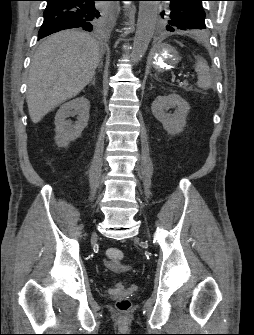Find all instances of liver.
<instances>
[{
	"label": "liver",
	"instance_id": "liver-1",
	"mask_svg": "<svg viewBox=\"0 0 254 335\" xmlns=\"http://www.w3.org/2000/svg\"><path fill=\"white\" fill-rule=\"evenodd\" d=\"M103 48L76 30L55 33L42 42L32 58L27 82L26 101L34 124L91 82Z\"/></svg>",
	"mask_w": 254,
	"mask_h": 335
}]
</instances>
